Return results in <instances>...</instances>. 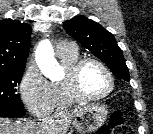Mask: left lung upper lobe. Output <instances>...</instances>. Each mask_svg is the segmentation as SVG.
<instances>
[{"label": "left lung upper lobe", "instance_id": "5c2ea615", "mask_svg": "<svg viewBox=\"0 0 153 134\" xmlns=\"http://www.w3.org/2000/svg\"><path fill=\"white\" fill-rule=\"evenodd\" d=\"M63 27L72 38L102 60L116 78L129 81V71L123 53L109 31L85 16L65 21Z\"/></svg>", "mask_w": 153, "mask_h": 134}]
</instances>
